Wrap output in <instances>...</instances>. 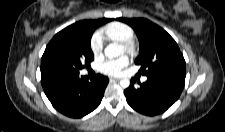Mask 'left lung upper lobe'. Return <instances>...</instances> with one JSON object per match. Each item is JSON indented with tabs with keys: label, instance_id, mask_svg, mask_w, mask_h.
I'll return each instance as SVG.
<instances>
[{
	"label": "left lung upper lobe",
	"instance_id": "left-lung-upper-lobe-1",
	"mask_svg": "<svg viewBox=\"0 0 225 132\" xmlns=\"http://www.w3.org/2000/svg\"><path fill=\"white\" fill-rule=\"evenodd\" d=\"M136 32L140 50L135 63L139 72L164 76H185L186 63L175 40L161 27L144 18H117Z\"/></svg>",
	"mask_w": 225,
	"mask_h": 132
}]
</instances>
